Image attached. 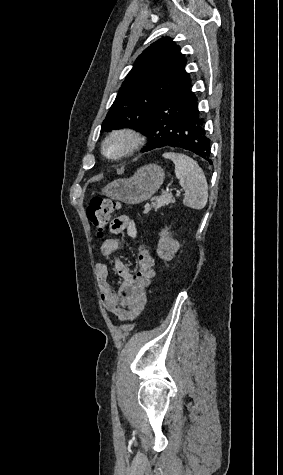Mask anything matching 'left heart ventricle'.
Segmentation results:
<instances>
[{
    "instance_id": "obj_1",
    "label": "left heart ventricle",
    "mask_w": 283,
    "mask_h": 475,
    "mask_svg": "<svg viewBox=\"0 0 283 475\" xmlns=\"http://www.w3.org/2000/svg\"><path fill=\"white\" fill-rule=\"evenodd\" d=\"M111 152H117L121 149V144L120 143H113L109 147Z\"/></svg>"
}]
</instances>
